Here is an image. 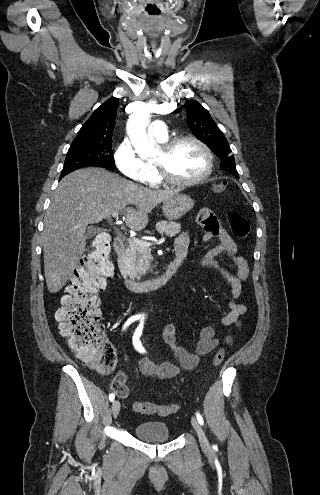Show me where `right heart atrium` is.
<instances>
[{
  "mask_svg": "<svg viewBox=\"0 0 320 495\" xmlns=\"http://www.w3.org/2000/svg\"><path fill=\"white\" fill-rule=\"evenodd\" d=\"M119 171L127 178L140 183H150L154 179V171L134 150L129 139H124L114 154Z\"/></svg>",
  "mask_w": 320,
  "mask_h": 495,
  "instance_id": "right-heart-atrium-1",
  "label": "right heart atrium"
}]
</instances>
